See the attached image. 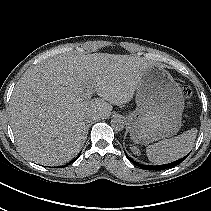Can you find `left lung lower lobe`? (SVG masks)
Segmentation results:
<instances>
[{"label":"left lung lower lobe","mask_w":211,"mask_h":211,"mask_svg":"<svg viewBox=\"0 0 211 211\" xmlns=\"http://www.w3.org/2000/svg\"><path fill=\"white\" fill-rule=\"evenodd\" d=\"M126 154V153H125ZM188 155L184 156L183 158L176 160L174 162L168 163V164H163V165H143L140 164L136 161H134L133 159H131L127 154L126 157L128 158L129 161H131L134 165L142 168V169H146V170H164V169H168L174 166H177L178 164H180L182 161H184V159L187 157Z\"/></svg>","instance_id":"0a47b994"}]
</instances>
